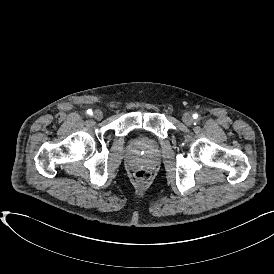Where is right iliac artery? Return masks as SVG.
Here are the masks:
<instances>
[{"label": "right iliac artery", "instance_id": "obj_1", "mask_svg": "<svg viewBox=\"0 0 274 274\" xmlns=\"http://www.w3.org/2000/svg\"><path fill=\"white\" fill-rule=\"evenodd\" d=\"M92 113H93V112H92L91 109H88V110H87V114L92 115Z\"/></svg>", "mask_w": 274, "mask_h": 274}]
</instances>
